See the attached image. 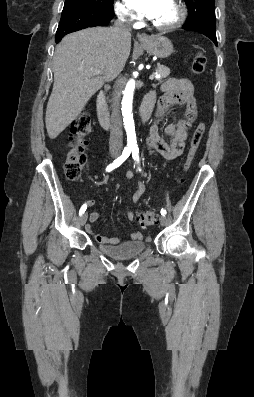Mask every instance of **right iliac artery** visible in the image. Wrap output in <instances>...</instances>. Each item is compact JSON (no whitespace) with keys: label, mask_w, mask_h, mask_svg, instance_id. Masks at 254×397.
<instances>
[{"label":"right iliac artery","mask_w":254,"mask_h":397,"mask_svg":"<svg viewBox=\"0 0 254 397\" xmlns=\"http://www.w3.org/2000/svg\"><path fill=\"white\" fill-rule=\"evenodd\" d=\"M131 151H132L131 148H125L123 150L122 155L120 157H118L116 160H114L113 163H111L107 166L106 171L110 172L113 169L119 167L129 157ZM86 208H87V205L83 204L82 207L80 208L79 214L82 215L85 212Z\"/></svg>","instance_id":"82829eb1"}]
</instances>
